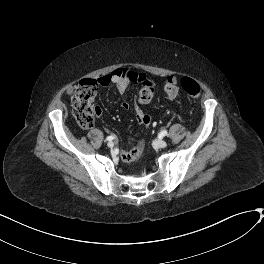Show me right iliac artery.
I'll use <instances>...</instances> for the list:
<instances>
[{"mask_svg":"<svg viewBox=\"0 0 264 264\" xmlns=\"http://www.w3.org/2000/svg\"><path fill=\"white\" fill-rule=\"evenodd\" d=\"M115 137L114 136H108L107 138H106V140L107 141H111V140H113Z\"/></svg>","mask_w":264,"mask_h":264,"instance_id":"1","label":"right iliac artery"}]
</instances>
